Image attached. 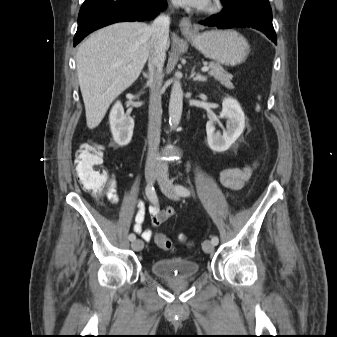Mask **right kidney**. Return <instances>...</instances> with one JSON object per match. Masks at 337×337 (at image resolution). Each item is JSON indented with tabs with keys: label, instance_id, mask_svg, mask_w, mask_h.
Masks as SVG:
<instances>
[{
	"label": "right kidney",
	"instance_id": "obj_1",
	"mask_svg": "<svg viewBox=\"0 0 337 337\" xmlns=\"http://www.w3.org/2000/svg\"><path fill=\"white\" fill-rule=\"evenodd\" d=\"M109 122L114 141L119 146L129 144L133 135L134 120L124 114L121 102L117 101L112 107Z\"/></svg>",
	"mask_w": 337,
	"mask_h": 337
}]
</instances>
